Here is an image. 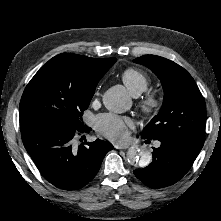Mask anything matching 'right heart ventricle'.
Here are the masks:
<instances>
[{"label":"right heart ventricle","mask_w":221,"mask_h":221,"mask_svg":"<svg viewBox=\"0 0 221 221\" xmlns=\"http://www.w3.org/2000/svg\"><path fill=\"white\" fill-rule=\"evenodd\" d=\"M121 78L132 95H140L149 86V78L139 69L128 68L122 72Z\"/></svg>","instance_id":"obj_1"}]
</instances>
